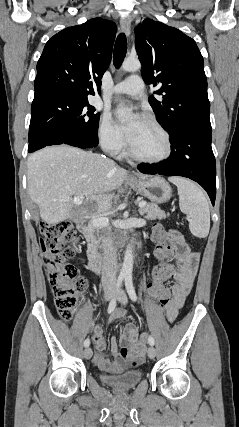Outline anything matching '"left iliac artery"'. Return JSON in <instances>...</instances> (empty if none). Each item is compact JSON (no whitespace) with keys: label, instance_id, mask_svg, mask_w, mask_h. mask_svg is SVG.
Instances as JSON below:
<instances>
[{"label":"left iliac artery","instance_id":"44dca946","mask_svg":"<svg viewBox=\"0 0 239 427\" xmlns=\"http://www.w3.org/2000/svg\"><path fill=\"white\" fill-rule=\"evenodd\" d=\"M125 287L127 290V293L129 295V297L131 298L132 301H136L137 300V295L133 286V281H132V277L130 275H127L125 277ZM148 343L153 346L155 341L154 338L152 336H149L148 338Z\"/></svg>","mask_w":239,"mask_h":427}]
</instances>
